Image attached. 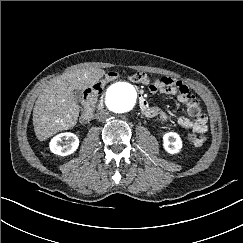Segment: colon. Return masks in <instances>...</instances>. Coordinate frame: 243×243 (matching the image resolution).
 <instances>
[{"label": "colon", "instance_id": "1", "mask_svg": "<svg viewBox=\"0 0 243 243\" xmlns=\"http://www.w3.org/2000/svg\"><path fill=\"white\" fill-rule=\"evenodd\" d=\"M117 77H118L117 73L110 72L105 76L103 81L86 89V91L83 94V108L81 110V115H80L81 121L86 122L91 118L94 105L97 101L98 96L102 92L104 82L116 79ZM130 80L135 83H141V84H145V85H147V84L152 85L158 81L157 80L153 83H150V80H149L147 74L144 72H136V73L132 74L130 76ZM187 138H188L189 142L195 146L200 140L198 135H195L192 133L188 134Z\"/></svg>", "mask_w": 243, "mask_h": 243}]
</instances>
